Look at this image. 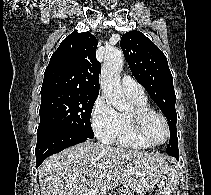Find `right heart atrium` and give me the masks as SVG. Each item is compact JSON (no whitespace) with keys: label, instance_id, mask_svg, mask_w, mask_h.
<instances>
[{"label":"right heart atrium","instance_id":"d8ad5b80","mask_svg":"<svg viewBox=\"0 0 211 195\" xmlns=\"http://www.w3.org/2000/svg\"><path fill=\"white\" fill-rule=\"evenodd\" d=\"M91 126L95 135L104 143H113L119 125V113L103 95H99L91 110Z\"/></svg>","mask_w":211,"mask_h":195}]
</instances>
